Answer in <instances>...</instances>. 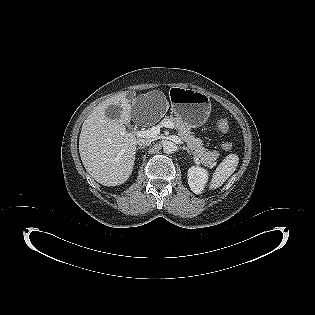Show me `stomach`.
Wrapping results in <instances>:
<instances>
[{
  "label": "stomach",
  "mask_w": 315,
  "mask_h": 315,
  "mask_svg": "<svg viewBox=\"0 0 315 315\" xmlns=\"http://www.w3.org/2000/svg\"><path fill=\"white\" fill-rule=\"evenodd\" d=\"M173 113L189 128L206 123L211 112L210 97L201 91L185 87H172L169 91Z\"/></svg>",
  "instance_id": "stomach-1"
}]
</instances>
